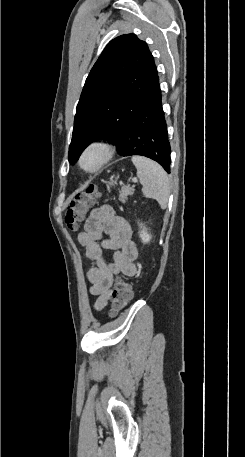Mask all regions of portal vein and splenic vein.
I'll list each match as a JSON object with an SVG mask.
<instances>
[{"label":"portal vein and splenic vein","instance_id":"obj_1","mask_svg":"<svg viewBox=\"0 0 245 457\" xmlns=\"http://www.w3.org/2000/svg\"><path fill=\"white\" fill-rule=\"evenodd\" d=\"M132 180H133V182H137L136 176H133Z\"/></svg>","mask_w":245,"mask_h":457}]
</instances>
